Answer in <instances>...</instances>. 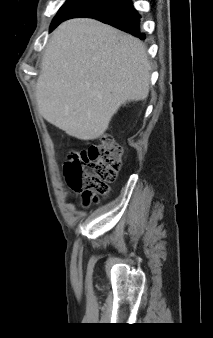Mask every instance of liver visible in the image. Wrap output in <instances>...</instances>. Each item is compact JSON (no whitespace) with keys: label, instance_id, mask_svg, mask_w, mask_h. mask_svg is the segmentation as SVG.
I'll return each instance as SVG.
<instances>
[{"label":"liver","instance_id":"1","mask_svg":"<svg viewBox=\"0 0 213 338\" xmlns=\"http://www.w3.org/2000/svg\"><path fill=\"white\" fill-rule=\"evenodd\" d=\"M150 69L139 39L93 19L66 21L43 56L39 113L70 136L97 139L122 105L148 96Z\"/></svg>","mask_w":213,"mask_h":338}]
</instances>
